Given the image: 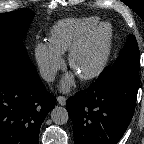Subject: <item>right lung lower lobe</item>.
<instances>
[{"label": "right lung lower lobe", "instance_id": "1", "mask_svg": "<svg viewBox=\"0 0 144 144\" xmlns=\"http://www.w3.org/2000/svg\"><path fill=\"white\" fill-rule=\"evenodd\" d=\"M55 103L39 77L0 69V144H39L41 124Z\"/></svg>", "mask_w": 144, "mask_h": 144}]
</instances>
